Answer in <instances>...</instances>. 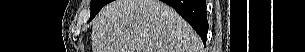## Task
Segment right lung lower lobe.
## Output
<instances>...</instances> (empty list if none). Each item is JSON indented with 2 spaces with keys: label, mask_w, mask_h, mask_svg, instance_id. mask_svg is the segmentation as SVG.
Instances as JSON below:
<instances>
[{
  "label": "right lung lower lobe",
  "mask_w": 305,
  "mask_h": 52,
  "mask_svg": "<svg viewBox=\"0 0 305 52\" xmlns=\"http://www.w3.org/2000/svg\"><path fill=\"white\" fill-rule=\"evenodd\" d=\"M173 7L199 34L206 44L208 21L206 0H162Z\"/></svg>",
  "instance_id": "98d812e1"
}]
</instances>
